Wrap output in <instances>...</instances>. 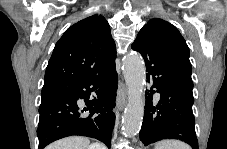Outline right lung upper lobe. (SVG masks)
<instances>
[{"mask_svg": "<svg viewBox=\"0 0 227 149\" xmlns=\"http://www.w3.org/2000/svg\"><path fill=\"white\" fill-rule=\"evenodd\" d=\"M115 58L116 46L108 22L97 14L87 17L69 27L56 43L42 89L68 86Z\"/></svg>", "mask_w": 227, "mask_h": 149, "instance_id": "obj_1", "label": "right lung upper lobe"}]
</instances>
